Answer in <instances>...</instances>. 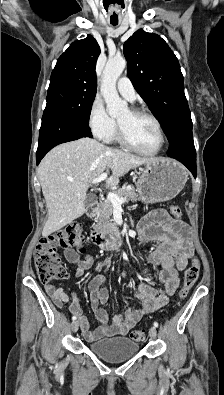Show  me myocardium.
<instances>
[{
  "instance_id": "obj_1",
  "label": "myocardium",
  "mask_w": 224,
  "mask_h": 395,
  "mask_svg": "<svg viewBox=\"0 0 224 395\" xmlns=\"http://www.w3.org/2000/svg\"><path fill=\"white\" fill-rule=\"evenodd\" d=\"M131 113L135 114V115H143L148 117L149 119H151L154 124L157 127L158 133H159V137H160V142L158 147L154 150V151H145L142 150L140 148H138L127 136L125 130L123 129V127L121 126V124L117 121V138L119 140V142L126 147L127 149L136 152L138 154L141 155H146V156H155L158 155L164 148L165 145V133L162 127L161 122L159 121V119L150 111L144 109V108H140V107H132L129 109Z\"/></svg>"
}]
</instances>
